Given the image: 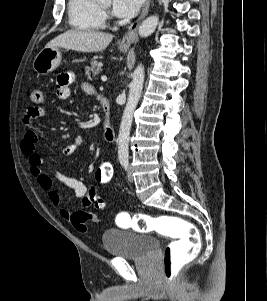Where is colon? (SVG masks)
Returning <instances> with one entry per match:
<instances>
[{
  "label": "colon",
  "instance_id": "5ec220e1",
  "mask_svg": "<svg viewBox=\"0 0 267 301\" xmlns=\"http://www.w3.org/2000/svg\"><path fill=\"white\" fill-rule=\"evenodd\" d=\"M30 99L34 104H40L43 101V92L39 88H31ZM113 174L112 164L103 162L95 171L94 181L97 184H109ZM87 200L97 209H103L105 206L94 188L87 191ZM117 222L123 227L132 228L140 233L155 232L172 239L162 254L163 278L168 283L173 281L178 271L193 260L199 252L200 236L197 228L191 222L180 217L122 212L118 214Z\"/></svg>",
  "mask_w": 267,
  "mask_h": 301
}]
</instances>
